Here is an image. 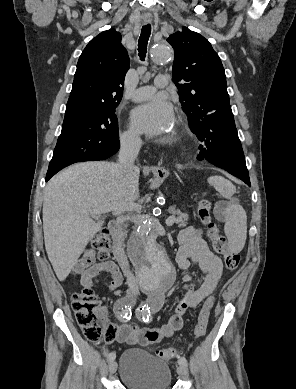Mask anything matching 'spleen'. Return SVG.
<instances>
[{
    "instance_id": "3e777b00",
    "label": "spleen",
    "mask_w": 296,
    "mask_h": 389,
    "mask_svg": "<svg viewBox=\"0 0 296 389\" xmlns=\"http://www.w3.org/2000/svg\"><path fill=\"white\" fill-rule=\"evenodd\" d=\"M208 183L218 191L222 197L229 199L230 203L225 209L224 231L228 239L231 252L239 253L245 246L247 237V216L242 206L232 198L236 192L231 181L222 176H211Z\"/></svg>"
}]
</instances>
